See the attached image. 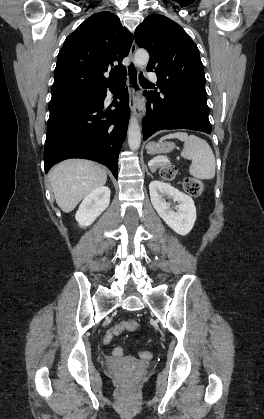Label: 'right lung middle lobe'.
Returning <instances> with one entry per match:
<instances>
[{"label":"right lung middle lobe","instance_id":"dd1d6c3e","mask_svg":"<svg viewBox=\"0 0 264 419\" xmlns=\"http://www.w3.org/2000/svg\"><path fill=\"white\" fill-rule=\"evenodd\" d=\"M88 93H94V92L72 93V94H69V95H67L65 97H71V96H76V95H81V94H88ZM65 97H62V98H65Z\"/></svg>","mask_w":264,"mask_h":419}]
</instances>
